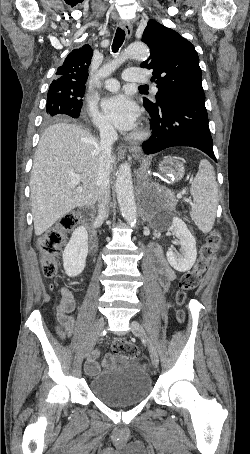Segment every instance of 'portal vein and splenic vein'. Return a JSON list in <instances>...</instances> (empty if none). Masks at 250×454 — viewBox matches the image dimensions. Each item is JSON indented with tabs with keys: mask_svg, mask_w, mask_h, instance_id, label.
Wrapping results in <instances>:
<instances>
[{
	"mask_svg": "<svg viewBox=\"0 0 250 454\" xmlns=\"http://www.w3.org/2000/svg\"><path fill=\"white\" fill-rule=\"evenodd\" d=\"M79 179H80V177L78 175H72L71 176L72 183H74L75 185H78V187L76 189L78 192L82 191V187L79 186ZM177 198L178 199H183L184 201H188V199L183 198L182 194H177Z\"/></svg>",
	"mask_w": 250,
	"mask_h": 454,
	"instance_id": "obj_1",
	"label": "portal vein and splenic vein"
}]
</instances>
